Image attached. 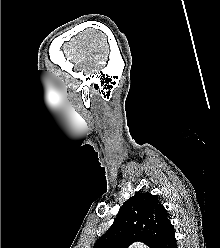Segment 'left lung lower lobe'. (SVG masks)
<instances>
[{
	"instance_id": "left-lung-lower-lobe-1",
	"label": "left lung lower lobe",
	"mask_w": 220,
	"mask_h": 248,
	"mask_svg": "<svg viewBox=\"0 0 220 248\" xmlns=\"http://www.w3.org/2000/svg\"><path fill=\"white\" fill-rule=\"evenodd\" d=\"M157 248H177L174 228L172 225L167 229Z\"/></svg>"
}]
</instances>
